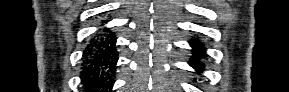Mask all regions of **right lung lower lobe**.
<instances>
[{"label": "right lung lower lobe", "instance_id": "1", "mask_svg": "<svg viewBox=\"0 0 289 92\" xmlns=\"http://www.w3.org/2000/svg\"><path fill=\"white\" fill-rule=\"evenodd\" d=\"M115 34L107 28L97 33L84 51L82 83L87 92H108L116 69Z\"/></svg>", "mask_w": 289, "mask_h": 92}]
</instances>
